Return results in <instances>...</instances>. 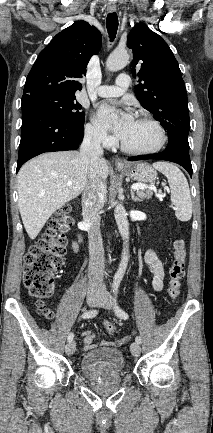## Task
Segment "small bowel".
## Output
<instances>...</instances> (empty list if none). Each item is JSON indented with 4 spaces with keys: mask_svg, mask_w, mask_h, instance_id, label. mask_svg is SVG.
Returning a JSON list of instances; mask_svg holds the SVG:
<instances>
[{
    "mask_svg": "<svg viewBox=\"0 0 213 433\" xmlns=\"http://www.w3.org/2000/svg\"><path fill=\"white\" fill-rule=\"evenodd\" d=\"M74 250H77V244H73ZM144 261L151 276V285L155 291H161L164 287V267L163 263L153 250H148L144 256ZM83 344L82 351H88L93 348L94 334L90 331L82 333ZM128 337H122L114 342H108L107 345L121 346L125 344Z\"/></svg>",
    "mask_w": 213,
    "mask_h": 433,
    "instance_id": "1",
    "label": "small bowel"
}]
</instances>
